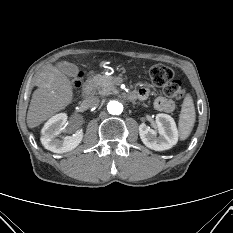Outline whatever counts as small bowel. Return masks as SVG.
Segmentation results:
<instances>
[{
	"label": "small bowel",
	"mask_w": 233,
	"mask_h": 233,
	"mask_svg": "<svg viewBox=\"0 0 233 233\" xmlns=\"http://www.w3.org/2000/svg\"><path fill=\"white\" fill-rule=\"evenodd\" d=\"M138 98L146 99L149 95V89L147 87H142L137 92ZM154 106L157 110L170 113L175 109V103L173 100L168 99L163 96H157L154 100Z\"/></svg>",
	"instance_id": "small-bowel-1"
}]
</instances>
